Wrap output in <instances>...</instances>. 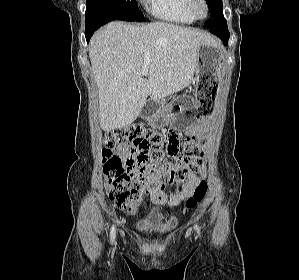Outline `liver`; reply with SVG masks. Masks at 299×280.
Instances as JSON below:
<instances>
[{
	"mask_svg": "<svg viewBox=\"0 0 299 280\" xmlns=\"http://www.w3.org/2000/svg\"><path fill=\"white\" fill-rule=\"evenodd\" d=\"M203 44L216 43L200 31L165 22L136 26L113 21L97 31L90 41L89 58L102 129L128 127L148 95L159 101L193 82ZM145 53L150 54L149 61Z\"/></svg>",
	"mask_w": 299,
	"mask_h": 280,
	"instance_id": "liver-1",
	"label": "liver"
}]
</instances>
